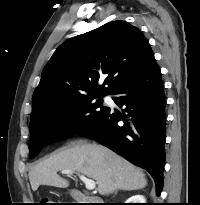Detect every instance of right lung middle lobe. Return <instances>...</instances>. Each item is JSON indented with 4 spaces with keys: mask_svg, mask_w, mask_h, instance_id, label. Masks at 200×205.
<instances>
[{
    "mask_svg": "<svg viewBox=\"0 0 200 205\" xmlns=\"http://www.w3.org/2000/svg\"><path fill=\"white\" fill-rule=\"evenodd\" d=\"M103 96H80L59 101L30 119L29 157H35L45 145L78 135L94 125L109 109L102 105Z\"/></svg>",
    "mask_w": 200,
    "mask_h": 205,
    "instance_id": "1",
    "label": "right lung middle lobe"
}]
</instances>
